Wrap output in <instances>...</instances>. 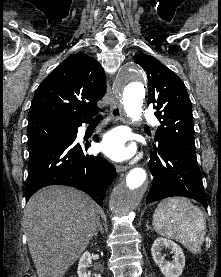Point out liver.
<instances>
[{"label":"liver","mask_w":221,"mask_h":277,"mask_svg":"<svg viewBox=\"0 0 221 277\" xmlns=\"http://www.w3.org/2000/svg\"><path fill=\"white\" fill-rule=\"evenodd\" d=\"M99 211L88 195L65 186L43 188L29 199L24 223L38 277H63L97 232Z\"/></svg>","instance_id":"6515ba94"}]
</instances>
